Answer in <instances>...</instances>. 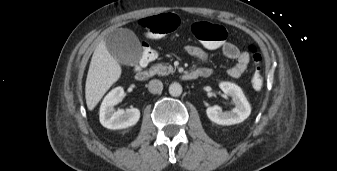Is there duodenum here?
<instances>
[{
    "label": "duodenum",
    "mask_w": 337,
    "mask_h": 171,
    "mask_svg": "<svg viewBox=\"0 0 337 171\" xmlns=\"http://www.w3.org/2000/svg\"><path fill=\"white\" fill-rule=\"evenodd\" d=\"M211 74V71L207 68H199L191 70L183 74V78L186 80H194L197 78H206ZM149 77V72L146 69L138 68L136 72V78L140 81L146 80Z\"/></svg>",
    "instance_id": "obj_1"
}]
</instances>
